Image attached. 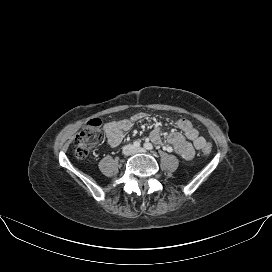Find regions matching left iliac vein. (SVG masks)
Here are the masks:
<instances>
[{
  "label": "left iliac vein",
  "mask_w": 272,
  "mask_h": 272,
  "mask_svg": "<svg viewBox=\"0 0 272 272\" xmlns=\"http://www.w3.org/2000/svg\"><path fill=\"white\" fill-rule=\"evenodd\" d=\"M135 152H136V153H145L146 150H145L144 148H142V147H139V148H136V149H135Z\"/></svg>",
  "instance_id": "4c4485c4"
}]
</instances>
